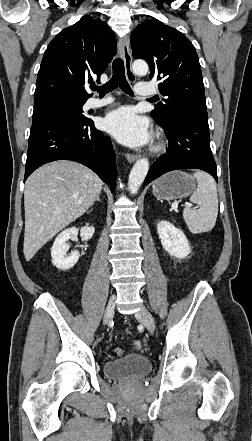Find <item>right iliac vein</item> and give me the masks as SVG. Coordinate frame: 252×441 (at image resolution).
I'll return each mask as SVG.
<instances>
[{
  "mask_svg": "<svg viewBox=\"0 0 252 441\" xmlns=\"http://www.w3.org/2000/svg\"><path fill=\"white\" fill-rule=\"evenodd\" d=\"M115 299H116V296L113 295V296L110 298L109 302H108V305H107V307H106V311H105V314H104V318H103V323H104V325H106V324L108 323L109 319H110V318L113 316V314H114Z\"/></svg>",
  "mask_w": 252,
  "mask_h": 441,
  "instance_id": "63e3f726",
  "label": "right iliac vein"
}]
</instances>
